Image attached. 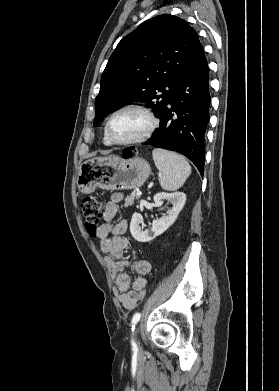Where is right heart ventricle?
Wrapping results in <instances>:
<instances>
[{
	"label": "right heart ventricle",
	"instance_id": "obj_1",
	"mask_svg": "<svg viewBox=\"0 0 279 391\" xmlns=\"http://www.w3.org/2000/svg\"><path fill=\"white\" fill-rule=\"evenodd\" d=\"M103 142L106 146H110L111 144L109 143V141L107 140L106 136H105V133H104V138H103Z\"/></svg>",
	"mask_w": 279,
	"mask_h": 391
}]
</instances>
